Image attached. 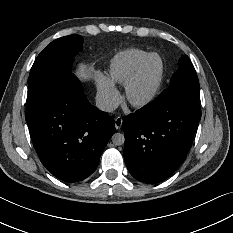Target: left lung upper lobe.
<instances>
[{"mask_svg": "<svg viewBox=\"0 0 233 233\" xmlns=\"http://www.w3.org/2000/svg\"><path fill=\"white\" fill-rule=\"evenodd\" d=\"M159 102H192L199 103V81L187 55L179 60V69L173 74L170 86L156 99Z\"/></svg>", "mask_w": 233, "mask_h": 233, "instance_id": "1", "label": "left lung upper lobe"}]
</instances>
